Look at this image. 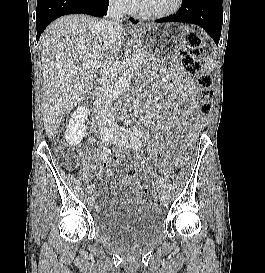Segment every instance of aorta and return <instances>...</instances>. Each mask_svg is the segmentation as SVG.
Masks as SVG:
<instances>
[{
    "instance_id": "obj_1",
    "label": "aorta",
    "mask_w": 265,
    "mask_h": 273,
    "mask_svg": "<svg viewBox=\"0 0 265 273\" xmlns=\"http://www.w3.org/2000/svg\"><path fill=\"white\" fill-rule=\"evenodd\" d=\"M133 78V69L131 66L124 69L122 76L119 80L115 83L113 96L114 99L117 100L125 91L126 87L128 86L129 82ZM118 108L115 109V112L118 113Z\"/></svg>"
}]
</instances>
